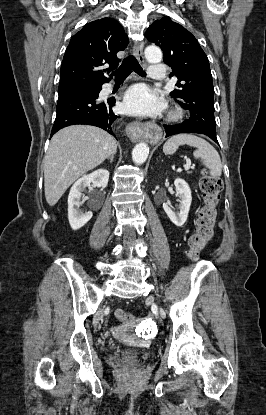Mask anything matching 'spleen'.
<instances>
[{
  "label": "spleen",
  "instance_id": "obj_1",
  "mask_svg": "<svg viewBox=\"0 0 266 415\" xmlns=\"http://www.w3.org/2000/svg\"><path fill=\"white\" fill-rule=\"evenodd\" d=\"M195 147L193 155L200 159L210 170L212 177H219L222 173V163L217 150L206 140L192 134H179L171 137L163 146L165 154H174L180 145Z\"/></svg>",
  "mask_w": 266,
  "mask_h": 415
}]
</instances>
